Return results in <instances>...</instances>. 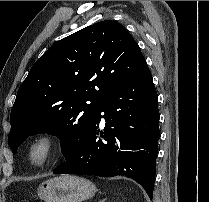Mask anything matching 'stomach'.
Segmentation results:
<instances>
[{"label": "stomach", "instance_id": "stomach-1", "mask_svg": "<svg viewBox=\"0 0 209 202\" xmlns=\"http://www.w3.org/2000/svg\"><path fill=\"white\" fill-rule=\"evenodd\" d=\"M96 187L89 180L64 175L44 181L37 188V195L44 202H82L95 194Z\"/></svg>", "mask_w": 209, "mask_h": 202}]
</instances>
